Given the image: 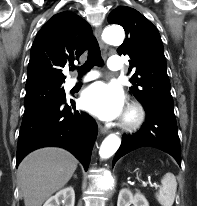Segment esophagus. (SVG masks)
<instances>
[{"instance_id": "obj_1", "label": "esophagus", "mask_w": 197, "mask_h": 206, "mask_svg": "<svg viewBox=\"0 0 197 206\" xmlns=\"http://www.w3.org/2000/svg\"><path fill=\"white\" fill-rule=\"evenodd\" d=\"M101 33H102V27L97 26L95 31H94L95 37L99 41L101 48L105 49V44L102 40ZM99 129H100L101 133H103V134H107L109 132V129L104 127L103 125H99Z\"/></svg>"}]
</instances>
